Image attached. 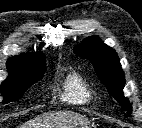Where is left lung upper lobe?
I'll return each mask as SVG.
<instances>
[{
    "instance_id": "1",
    "label": "left lung upper lobe",
    "mask_w": 142,
    "mask_h": 128,
    "mask_svg": "<svg viewBox=\"0 0 142 128\" xmlns=\"http://www.w3.org/2000/svg\"><path fill=\"white\" fill-rule=\"evenodd\" d=\"M74 52L82 58L88 59L94 66L99 79L106 86L127 113L131 107L127 98L123 96L125 85L124 73L116 51L105 45L98 37L92 36L74 47Z\"/></svg>"
}]
</instances>
